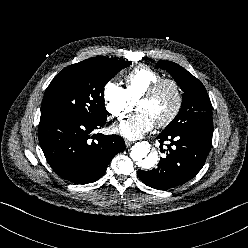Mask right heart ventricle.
I'll return each mask as SVG.
<instances>
[{
    "label": "right heart ventricle",
    "mask_w": 248,
    "mask_h": 248,
    "mask_svg": "<svg viewBox=\"0 0 248 248\" xmlns=\"http://www.w3.org/2000/svg\"><path fill=\"white\" fill-rule=\"evenodd\" d=\"M163 75L147 66H139L124 77V84L128 97L134 103Z\"/></svg>",
    "instance_id": "1"
}]
</instances>
